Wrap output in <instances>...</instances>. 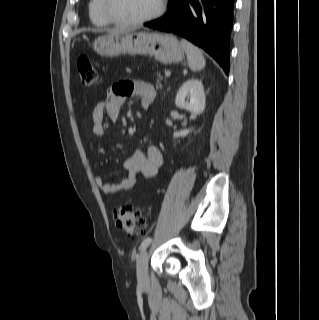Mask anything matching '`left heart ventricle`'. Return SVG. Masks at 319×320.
<instances>
[{
  "label": "left heart ventricle",
  "instance_id": "1",
  "mask_svg": "<svg viewBox=\"0 0 319 320\" xmlns=\"http://www.w3.org/2000/svg\"><path fill=\"white\" fill-rule=\"evenodd\" d=\"M159 0H110L114 15L121 19H136L153 13Z\"/></svg>",
  "mask_w": 319,
  "mask_h": 320
}]
</instances>
